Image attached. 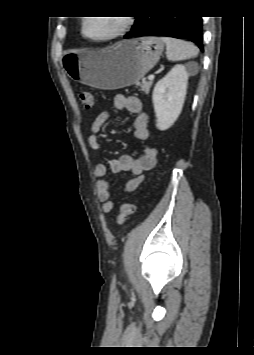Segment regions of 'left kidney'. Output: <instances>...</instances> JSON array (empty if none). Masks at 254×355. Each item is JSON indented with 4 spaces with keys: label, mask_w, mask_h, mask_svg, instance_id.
Here are the masks:
<instances>
[{
    "label": "left kidney",
    "mask_w": 254,
    "mask_h": 355,
    "mask_svg": "<svg viewBox=\"0 0 254 355\" xmlns=\"http://www.w3.org/2000/svg\"><path fill=\"white\" fill-rule=\"evenodd\" d=\"M188 84V72L184 65H175L153 90V105L156 127L167 130L177 120L182 111Z\"/></svg>",
    "instance_id": "5707ae66"
}]
</instances>
